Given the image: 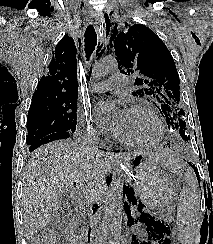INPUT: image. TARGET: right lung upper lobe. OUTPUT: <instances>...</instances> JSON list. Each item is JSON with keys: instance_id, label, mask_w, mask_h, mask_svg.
Masks as SVG:
<instances>
[{"instance_id": "cb5924a9", "label": "right lung upper lobe", "mask_w": 213, "mask_h": 244, "mask_svg": "<svg viewBox=\"0 0 213 244\" xmlns=\"http://www.w3.org/2000/svg\"><path fill=\"white\" fill-rule=\"evenodd\" d=\"M60 96L78 97L76 47L68 35L57 44L49 74L42 76L32 99Z\"/></svg>"}]
</instances>
